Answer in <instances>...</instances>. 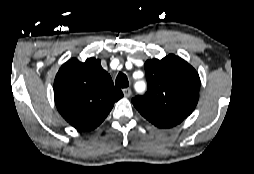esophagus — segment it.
Listing matches in <instances>:
<instances>
[{
	"label": "esophagus",
	"mask_w": 254,
	"mask_h": 174,
	"mask_svg": "<svg viewBox=\"0 0 254 174\" xmlns=\"http://www.w3.org/2000/svg\"><path fill=\"white\" fill-rule=\"evenodd\" d=\"M122 91L125 97H130L132 94V91L130 88H124Z\"/></svg>",
	"instance_id": "esophagus-1"
}]
</instances>
